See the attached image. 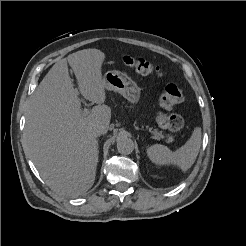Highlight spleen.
<instances>
[{
    "instance_id": "obj_1",
    "label": "spleen",
    "mask_w": 246,
    "mask_h": 246,
    "mask_svg": "<svg viewBox=\"0 0 246 246\" xmlns=\"http://www.w3.org/2000/svg\"><path fill=\"white\" fill-rule=\"evenodd\" d=\"M201 146V128H194L191 138L177 151L155 144L147 148L149 159L157 165L175 164L186 172L196 160Z\"/></svg>"
}]
</instances>
